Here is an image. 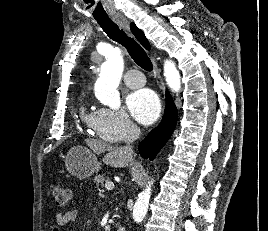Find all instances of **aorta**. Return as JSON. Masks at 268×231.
Returning a JSON list of instances; mask_svg holds the SVG:
<instances>
[{
  "mask_svg": "<svg viewBox=\"0 0 268 231\" xmlns=\"http://www.w3.org/2000/svg\"><path fill=\"white\" fill-rule=\"evenodd\" d=\"M124 69V61L121 51L118 48L112 50L108 60L102 65L100 77L95 84V95L99 101L111 109L117 110L121 106L120 94L117 87L120 83ZM164 76L168 86L172 91L178 92L181 88L180 73L176 65L171 60L164 62ZM153 181L139 193L133 208V219L135 222H141L148 209L151 196V186Z\"/></svg>",
  "mask_w": 268,
  "mask_h": 231,
  "instance_id": "obj_1",
  "label": "aorta"
}]
</instances>
